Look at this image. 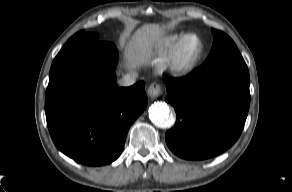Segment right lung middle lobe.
Here are the masks:
<instances>
[{
  "mask_svg": "<svg viewBox=\"0 0 292 192\" xmlns=\"http://www.w3.org/2000/svg\"><path fill=\"white\" fill-rule=\"evenodd\" d=\"M98 37L99 35L97 33H90L82 30L73 35L65 45L93 43L99 41Z\"/></svg>",
  "mask_w": 292,
  "mask_h": 192,
  "instance_id": "1",
  "label": "right lung middle lobe"
}]
</instances>
